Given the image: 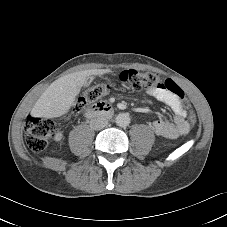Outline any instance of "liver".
Wrapping results in <instances>:
<instances>
[{"instance_id": "6515ba94", "label": "liver", "mask_w": 227, "mask_h": 227, "mask_svg": "<svg viewBox=\"0 0 227 227\" xmlns=\"http://www.w3.org/2000/svg\"><path fill=\"white\" fill-rule=\"evenodd\" d=\"M110 69H91L74 72L55 80L39 97L31 114L40 118L60 117L74 104L81 87L90 76H101Z\"/></svg>"}]
</instances>
